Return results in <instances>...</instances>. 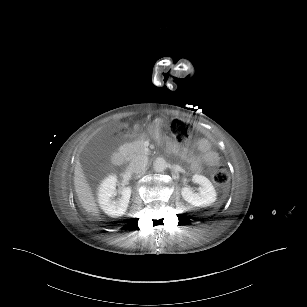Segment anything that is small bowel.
Wrapping results in <instances>:
<instances>
[{
    "instance_id": "small-bowel-1",
    "label": "small bowel",
    "mask_w": 307,
    "mask_h": 307,
    "mask_svg": "<svg viewBox=\"0 0 307 307\" xmlns=\"http://www.w3.org/2000/svg\"><path fill=\"white\" fill-rule=\"evenodd\" d=\"M194 147L198 151L197 154L193 150L185 152L194 173H200L203 164L214 165L219 161L218 153L211 149V142L207 138L199 139Z\"/></svg>"
}]
</instances>
